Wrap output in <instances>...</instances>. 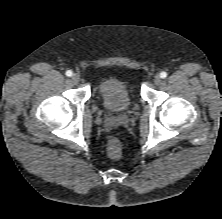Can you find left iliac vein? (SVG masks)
Returning a JSON list of instances; mask_svg holds the SVG:
<instances>
[{"label": "left iliac vein", "mask_w": 222, "mask_h": 219, "mask_svg": "<svg viewBox=\"0 0 222 219\" xmlns=\"http://www.w3.org/2000/svg\"><path fill=\"white\" fill-rule=\"evenodd\" d=\"M161 77L159 75H156L153 79L154 84L159 85L161 83Z\"/></svg>", "instance_id": "4c4485c4"}]
</instances>
